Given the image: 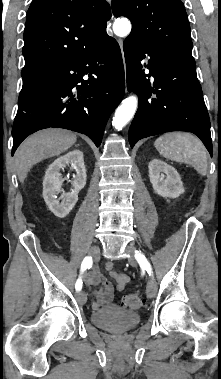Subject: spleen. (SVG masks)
<instances>
[{"mask_svg":"<svg viewBox=\"0 0 221 379\" xmlns=\"http://www.w3.org/2000/svg\"><path fill=\"white\" fill-rule=\"evenodd\" d=\"M155 148L168 160L186 163L205 176L207 173V151L203 143L188 133L171 132L156 139Z\"/></svg>","mask_w":221,"mask_h":379,"instance_id":"obj_1","label":"spleen"}]
</instances>
